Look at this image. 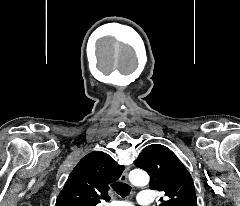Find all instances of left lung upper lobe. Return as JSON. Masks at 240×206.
<instances>
[{
	"label": "left lung upper lobe",
	"instance_id": "1",
	"mask_svg": "<svg viewBox=\"0 0 240 206\" xmlns=\"http://www.w3.org/2000/svg\"><path fill=\"white\" fill-rule=\"evenodd\" d=\"M134 164L150 175L151 189L165 192V198L160 199L159 206H196L192 177L166 146H146Z\"/></svg>",
	"mask_w": 240,
	"mask_h": 206
}]
</instances>
